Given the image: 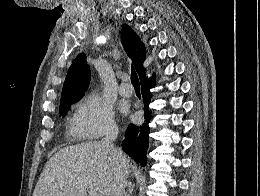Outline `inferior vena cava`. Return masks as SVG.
Wrapping results in <instances>:
<instances>
[{"mask_svg":"<svg viewBox=\"0 0 260 196\" xmlns=\"http://www.w3.org/2000/svg\"><path fill=\"white\" fill-rule=\"evenodd\" d=\"M116 138H118V132H109V134H107V136L101 140V148H104V150H107V152H112L113 160L120 164L119 174L116 176L115 190L112 196H124L127 182L124 174H122V170H124L123 166H126L127 164V158L126 156H121V154H118L113 144Z\"/></svg>","mask_w":260,"mask_h":196,"instance_id":"obj_1","label":"inferior vena cava"}]
</instances>
